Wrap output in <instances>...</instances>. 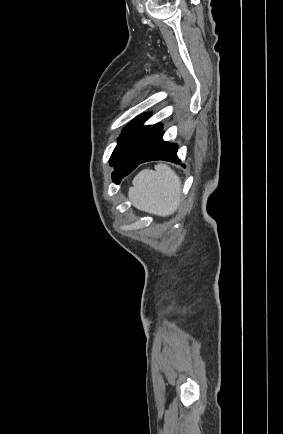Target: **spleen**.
Returning a JSON list of instances; mask_svg holds the SVG:
<instances>
[{"mask_svg": "<svg viewBox=\"0 0 283 434\" xmlns=\"http://www.w3.org/2000/svg\"><path fill=\"white\" fill-rule=\"evenodd\" d=\"M181 180L164 164L155 166V171L144 169L133 179L128 196L133 206L158 216H169L180 203Z\"/></svg>", "mask_w": 283, "mask_h": 434, "instance_id": "3e777b00", "label": "spleen"}]
</instances>
